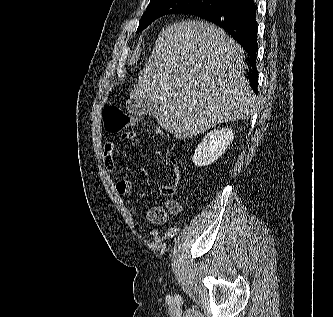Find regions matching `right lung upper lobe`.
Listing matches in <instances>:
<instances>
[{"instance_id": "right-lung-upper-lobe-1", "label": "right lung upper lobe", "mask_w": 333, "mask_h": 317, "mask_svg": "<svg viewBox=\"0 0 333 317\" xmlns=\"http://www.w3.org/2000/svg\"><path fill=\"white\" fill-rule=\"evenodd\" d=\"M229 3H232V2H235V1H238V0H227Z\"/></svg>"}]
</instances>
